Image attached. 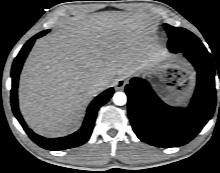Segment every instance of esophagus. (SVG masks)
I'll use <instances>...</instances> for the list:
<instances>
[{
  "instance_id": "esophagus-1",
  "label": "esophagus",
  "mask_w": 220,
  "mask_h": 173,
  "mask_svg": "<svg viewBox=\"0 0 220 173\" xmlns=\"http://www.w3.org/2000/svg\"><path fill=\"white\" fill-rule=\"evenodd\" d=\"M126 83H127V80H126V79H124V78H119V79L116 81V83H115V88H116L117 90H123L124 87H125V85H126Z\"/></svg>"
}]
</instances>
